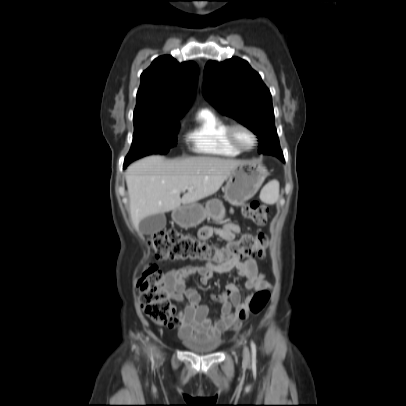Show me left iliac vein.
<instances>
[{
  "label": "left iliac vein",
  "instance_id": "1",
  "mask_svg": "<svg viewBox=\"0 0 406 406\" xmlns=\"http://www.w3.org/2000/svg\"><path fill=\"white\" fill-rule=\"evenodd\" d=\"M243 360H244L245 363H248L249 360H250L249 351H248L247 347H244Z\"/></svg>",
  "mask_w": 406,
  "mask_h": 406
}]
</instances>
